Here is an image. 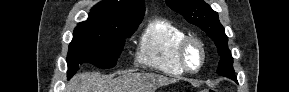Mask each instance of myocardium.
<instances>
[{
  "instance_id": "obj_1",
  "label": "myocardium",
  "mask_w": 289,
  "mask_h": 92,
  "mask_svg": "<svg viewBox=\"0 0 289 92\" xmlns=\"http://www.w3.org/2000/svg\"><path fill=\"white\" fill-rule=\"evenodd\" d=\"M198 47L200 51V61L196 67H191L187 62V52L191 46ZM178 58L182 68L185 72L196 73L198 72L204 65L206 60V49L203 41L195 36H186L180 43L178 48Z\"/></svg>"
}]
</instances>
